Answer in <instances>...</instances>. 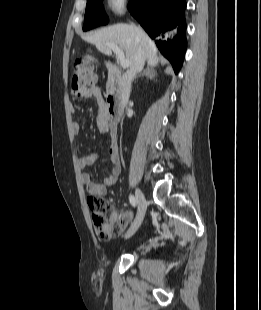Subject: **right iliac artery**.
I'll return each instance as SVG.
<instances>
[{
	"mask_svg": "<svg viewBox=\"0 0 261 310\" xmlns=\"http://www.w3.org/2000/svg\"><path fill=\"white\" fill-rule=\"evenodd\" d=\"M129 201H130V204L133 206V207H136L137 205V202H136V199L133 195H130L129 196Z\"/></svg>",
	"mask_w": 261,
	"mask_h": 310,
	"instance_id": "82829eb1",
	"label": "right iliac artery"
}]
</instances>
